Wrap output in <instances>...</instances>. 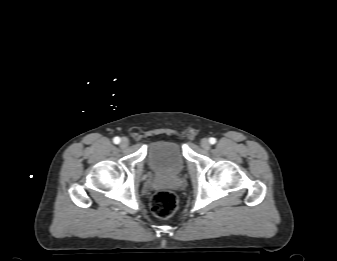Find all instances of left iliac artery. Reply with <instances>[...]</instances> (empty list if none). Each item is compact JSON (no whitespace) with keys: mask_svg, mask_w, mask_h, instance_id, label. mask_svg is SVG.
I'll return each mask as SVG.
<instances>
[{"mask_svg":"<svg viewBox=\"0 0 337 261\" xmlns=\"http://www.w3.org/2000/svg\"><path fill=\"white\" fill-rule=\"evenodd\" d=\"M209 142H210L211 144H215V143H216V139L213 138V137H211V138L209 139Z\"/></svg>","mask_w":337,"mask_h":261,"instance_id":"44dca946","label":"left iliac artery"}]
</instances>
